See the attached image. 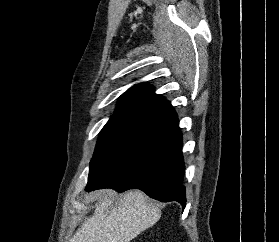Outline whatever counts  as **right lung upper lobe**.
Here are the masks:
<instances>
[{
	"mask_svg": "<svg viewBox=\"0 0 279 242\" xmlns=\"http://www.w3.org/2000/svg\"><path fill=\"white\" fill-rule=\"evenodd\" d=\"M173 111L171 103L156 95L152 86L139 83L121 95L115 114L143 113L163 117Z\"/></svg>",
	"mask_w": 279,
	"mask_h": 242,
	"instance_id": "cb5924a9",
	"label": "right lung upper lobe"
}]
</instances>
